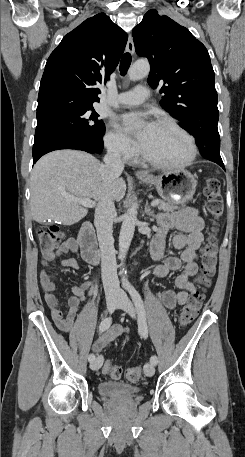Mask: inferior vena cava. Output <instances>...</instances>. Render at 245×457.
Wrapping results in <instances>:
<instances>
[{
    "mask_svg": "<svg viewBox=\"0 0 245 457\" xmlns=\"http://www.w3.org/2000/svg\"><path fill=\"white\" fill-rule=\"evenodd\" d=\"M121 156L122 154L116 146L108 148V152L104 156L105 164L99 168L103 186H110L113 180L118 178L122 170H124V162H122ZM115 216L117 214L113 198L107 192H103L102 198L99 200L95 210L94 224L97 229V237L101 249L102 283L108 297L118 295L121 291L117 277V263L114 239L112 237L113 218Z\"/></svg>",
    "mask_w": 245,
    "mask_h": 457,
    "instance_id": "602c4592",
    "label": "inferior vena cava"
}]
</instances>
